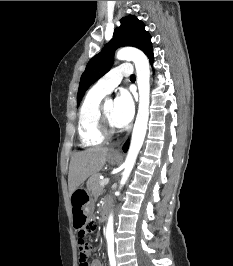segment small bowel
I'll return each instance as SVG.
<instances>
[{"mask_svg": "<svg viewBox=\"0 0 233 266\" xmlns=\"http://www.w3.org/2000/svg\"><path fill=\"white\" fill-rule=\"evenodd\" d=\"M88 266H102L100 260L94 259L91 263H88Z\"/></svg>", "mask_w": 233, "mask_h": 266, "instance_id": "1", "label": "small bowel"}]
</instances>
